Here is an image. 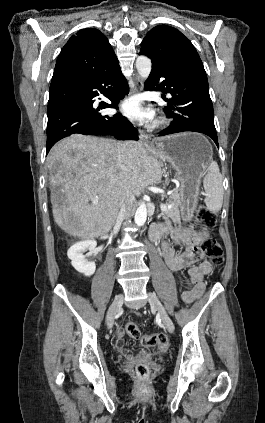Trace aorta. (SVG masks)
<instances>
[{
    "label": "aorta",
    "instance_id": "aorta-1",
    "mask_svg": "<svg viewBox=\"0 0 265 423\" xmlns=\"http://www.w3.org/2000/svg\"><path fill=\"white\" fill-rule=\"evenodd\" d=\"M136 68L138 74L143 80H146L151 72L152 63L151 60L146 56H138L136 59ZM147 220V207L144 201L139 203L138 208L136 209L134 221L136 225L143 226Z\"/></svg>",
    "mask_w": 265,
    "mask_h": 423
}]
</instances>
